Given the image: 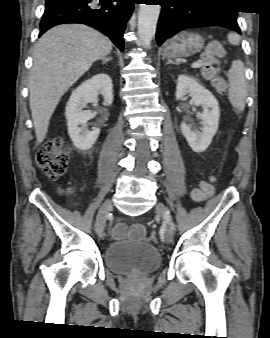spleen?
<instances>
[{"mask_svg":"<svg viewBox=\"0 0 270 338\" xmlns=\"http://www.w3.org/2000/svg\"><path fill=\"white\" fill-rule=\"evenodd\" d=\"M227 75L229 79L228 99L233 107L242 111L247 96L243 62L240 60L233 61Z\"/></svg>","mask_w":270,"mask_h":338,"instance_id":"obj_1","label":"spleen"}]
</instances>
